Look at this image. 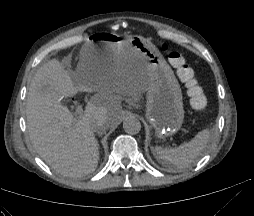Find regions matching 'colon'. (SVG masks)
I'll list each match as a JSON object with an SVG mask.
<instances>
[{
    "instance_id": "1",
    "label": "colon",
    "mask_w": 254,
    "mask_h": 216,
    "mask_svg": "<svg viewBox=\"0 0 254 216\" xmlns=\"http://www.w3.org/2000/svg\"><path fill=\"white\" fill-rule=\"evenodd\" d=\"M162 49L168 52L170 64L176 69L179 79L185 84L192 107L199 111L205 109L207 99L194 69L187 64L182 54L175 51L169 52L167 44H163Z\"/></svg>"
}]
</instances>
